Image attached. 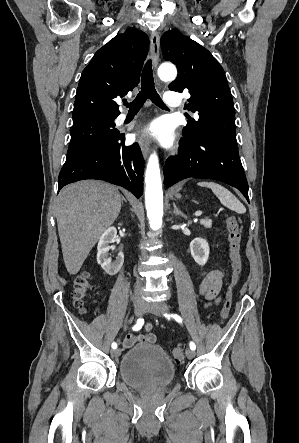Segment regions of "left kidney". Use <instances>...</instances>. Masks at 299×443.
Masks as SVG:
<instances>
[{
	"instance_id": "obj_1",
	"label": "left kidney",
	"mask_w": 299,
	"mask_h": 443,
	"mask_svg": "<svg viewBox=\"0 0 299 443\" xmlns=\"http://www.w3.org/2000/svg\"><path fill=\"white\" fill-rule=\"evenodd\" d=\"M191 255L195 262L201 266L205 265L209 258V245L203 238H195L190 243Z\"/></svg>"
}]
</instances>
